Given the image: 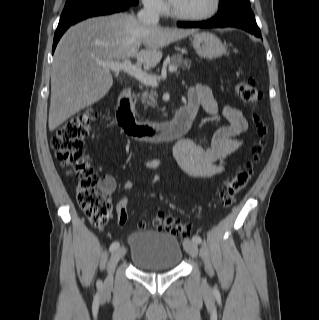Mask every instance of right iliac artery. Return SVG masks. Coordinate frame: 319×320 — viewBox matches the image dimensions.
Segmentation results:
<instances>
[{
	"instance_id": "right-iliac-artery-1",
	"label": "right iliac artery",
	"mask_w": 319,
	"mask_h": 320,
	"mask_svg": "<svg viewBox=\"0 0 319 320\" xmlns=\"http://www.w3.org/2000/svg\"><path fill=\"white\" fill-rule=\"evenodd\" d=\"M119 246H120L119 242H118V241H115V242H113V243L111 244L109 250H110L111 252H113V251L116 250ZM98 284H99V285L101 284L100 281L98 282Z\"/></svg>"
}]
</instances>
